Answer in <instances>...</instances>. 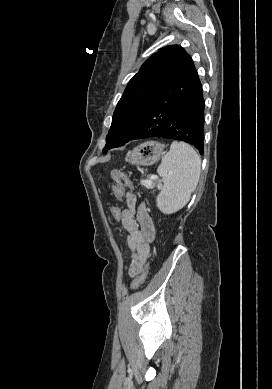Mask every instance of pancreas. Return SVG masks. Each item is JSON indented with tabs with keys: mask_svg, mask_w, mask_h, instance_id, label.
Segmentation results:
<instances>
[{
	"mask_svg": "<svg viewBox=\"0 0 272 389\" xmlns=\"http://www.w3.org/2000/svg\"><path fill=\"white\" fill-rule=\"evenodd\" d=\"M143 185H146V181L143 182Z\"/></svg>",
	"mask_w": 272,
	"mask_h": 389,
	"instance_id": "obj_1",
	"label": "pancreas"
}]
</instances>
